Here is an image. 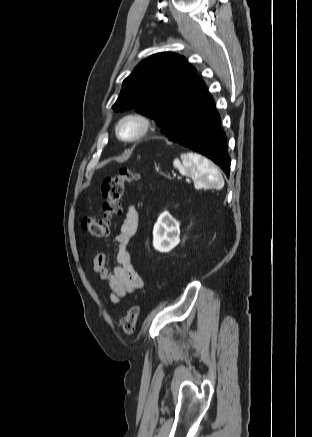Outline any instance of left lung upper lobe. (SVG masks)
<instances>
[{"label": "left lung upper lobe", "mask_w": 312, "mask_h": 437, "mask_svg": "<svg viewBox=\"0 0 312 437\" xmlns=\"http://www.w3.org/2000/svg\"><path fill=\"white\" fill-rule=\"evenodd\" d=\"M122 88L112 108H133L151 117L168 139L180 132L210 96L196 69L183 56L170 52L141 61Z\"/></svg>", "instance_id": "5c2ea615"}]
</instances>
